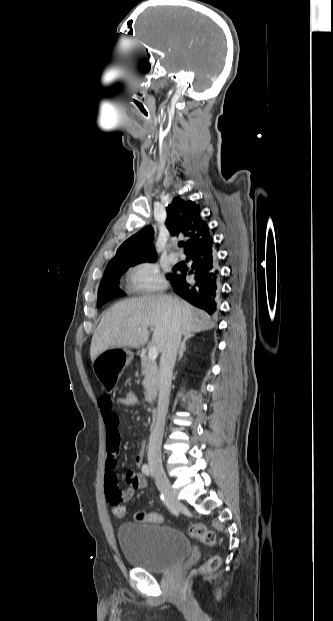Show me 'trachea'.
<instances>
[{"label": "trachea", "instance_id": "3493384b", "mask_svg": "<svg viewBox=\"0 0 333 621\" xmlns=\"http://www.w3.org/2000/svg\"><path fill=\"white\" fill-rule=\"evenodd\" d=\"M183 245H184V243H179V246H180V247H181V246H183Z\"/></svg>", "mask_w": 333, "mask_h": 621}]
</instances>
